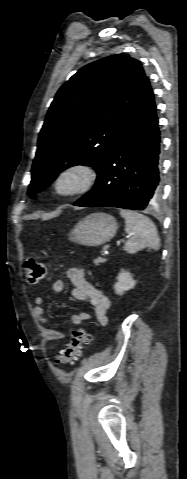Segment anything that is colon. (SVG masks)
<instances>
[{
    "mask_svg": "<svg viewBox=\"0 0 187 479\" xmlns=\"http://www.w3.org/2000/svg\"><path fill=\"white\" fill-rule=\"evenodd\" d=\"M23 269L26 282L30 285L40 283L47 276V266L34 258L26 259ZM90 340L91 335L84 327L75 329L66 347L57 354L55 364L64 366L73 363L81 356L84 345L88 344Z\"/></svg>",
    "mask_w": 187,
    "mask_h": 479,
    "instance_id": "colon-1",
    "label": "colon"
}]
</instances>
